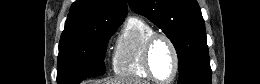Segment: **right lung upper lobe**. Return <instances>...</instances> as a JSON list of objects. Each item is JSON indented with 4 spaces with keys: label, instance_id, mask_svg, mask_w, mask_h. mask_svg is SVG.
<instances>
[{
    "label": "right lung upper lobe",
    "instance_id": "cb5924a9",
    "mask_svg": "<svg viewBox=\"0 0 260 84\" xmlns=\"http://www.w3.org/2000/svg\"><path fill=\"white\" fill-rule=\"evenodd\" d=\"M127 11L126 0H77L70 8L60 41L85 38L100 23L123 22Z\"/></svg>",
    "mask_w": 260,
    "mask_h": 84
}]
</instances>
